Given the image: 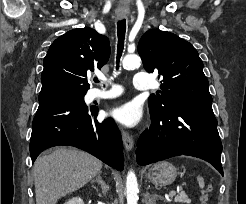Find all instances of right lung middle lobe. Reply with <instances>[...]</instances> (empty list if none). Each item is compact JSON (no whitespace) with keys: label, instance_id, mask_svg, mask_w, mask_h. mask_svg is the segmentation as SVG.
<instances>
[{"label":"right lung middle lobe","instance_id":"obj_1","mask_svg":"<svg viewBox=\"0 0 246 204\" xmlns=\"http://www.w3.org/2000/svg\"><path fill=\"white\" fill-rule=\"evenodd\" d=\"M73 95H79V96L84 97L85 93H77V94H73Z\"/></svg>","mask_w":246,"mask_h":204}]
</instances>
